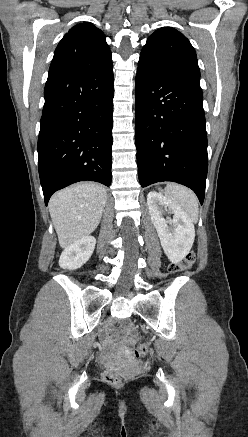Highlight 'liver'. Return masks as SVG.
I'll use <instances>...</instances> for the list:
<instances>
[{"label":"liver","mask_w":248,"mask_h":437,"mask_svg":"<svg viewBox=\"0 0 248 437\" xmlns=\"http://www.w3.org/2000/svg\"><path fill=\"white\" fill-rule=\"evenodd\" d=\"M106 201V189L92 182L72 185L51 197L50 216L62 248L88 236L97 228Z\"/></svg>","instance_id":"obj_1"}]
</instances>
